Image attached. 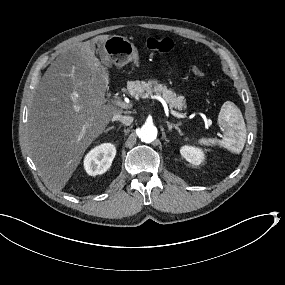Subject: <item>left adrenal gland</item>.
Returning a JSON list of instances; mask_svg holds the SVG:
<instances>
[{
	"mask_svg": "<svg viewBox=\"0 0 285 285\" xmlns=\"http://www.w3.org/2000/svg\"><path fill=\"white\" fill-rule=\"evenodd\" d=\"M166 123H167L169 131H171L172 128H175V129L178 130L179 126L181 125V122H178L177 124H174V123H170L169 121H166Z\"/></svg>",
	"mask_w": 285,
	"mask_h": 285,
	"instance_id": "left-adrenal-gland-1",
	"label": "left adrenal gland"
}]
</instances>
